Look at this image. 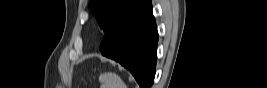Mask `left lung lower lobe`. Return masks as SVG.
I'll return each instance as SVG.
<instances>
[{"label": "left lung lower lobe", "mask_w": 267, "mask_h": 88, "mask_svg": "<svg viewBox=\"0 0 267 88\" xmlns=\"http://www.w3.org/2000/svg\"><path fill=\"white\" fill-rule=\"evenodd\" d=\"M157 40L151 1L143 0L106 32L100 51L127 68L141 88H150L155 75Z\"/></svg>", "instance_id": "obj_1"}]
</instances>
